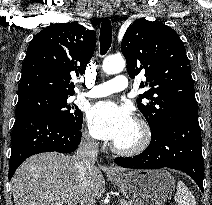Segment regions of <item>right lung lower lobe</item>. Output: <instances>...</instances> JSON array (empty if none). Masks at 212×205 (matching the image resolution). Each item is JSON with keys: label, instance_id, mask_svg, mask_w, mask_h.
<instances>
[{"label": "right lung lower lobe", "instance_id": "obj_1", "mask_svg": "<svg viewBox=\"0 0 212 205\" xmlns=\"http://www.w3.org/2000/svg\"><path fill=\"white\" fill-rule=\"evenodd\" d=\"M81 128L43 113L16 117L12 132L9 161V180L15 170L29 156L42 152L71 153L81 141Z\"/></svg>", "mask_w": 212, "mask_h": 205}]
</instances>
